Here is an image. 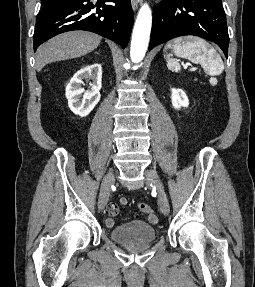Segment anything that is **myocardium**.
I'll use <instances>...</instances> for the list:
<instances>
[{
  "mask_svg": "<svg viewBox=\"0 0 255 287\" xmlns=\"http://www.w3.org/2000/svg\"><path fill=\"white\" fill-rule=\"evenodd\" d=\"M148 39H158V38H148ZM140 48H147V47H140ZM167 48V47H164Z\"/></svg>",
  "mask_w": 255,
  "mask_h": 287,
  "instance_id": "f54148a6",
  "label": "myocardium"
}]
</instances>
